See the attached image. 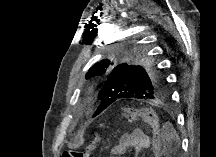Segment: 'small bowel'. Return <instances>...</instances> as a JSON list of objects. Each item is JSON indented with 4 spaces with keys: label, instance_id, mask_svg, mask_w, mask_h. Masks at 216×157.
<instances>
[{
    "label": "small bowel",
    "instance_id": "c3829d8e",
    "mask_svg": "<svg viewBox=\"0 0 216 157\" xmlns=\"http://www.w3.org/2000/svg\"><path fill=\"white\" fill-rule=\"evenodd\" d=\"M150 147V137L141 130L123 134L119 143L111 151V155H124L132 151L135 156Z\"/></svg>",
    "mask_w": 216,
    "mask_h": 157
}]
</instances>
